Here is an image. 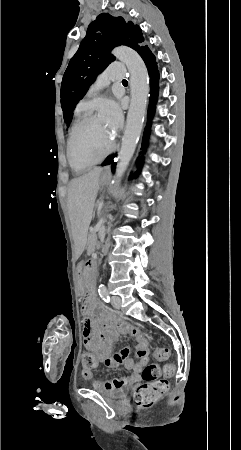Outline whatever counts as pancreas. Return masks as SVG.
I'll use <instances>...</instances> for the list:
<instances>
[{"label": "pancreas", "mask_w": 241, "mask_h": 450, "mask_svg": "<svg viewBox=\"0 0 241 450\" xmlns=\"http://www.w3.org/2000/svg\"><path fill=\"white\" fill-rule=\"evenodd\" d=\"M96 232H98V231H96V227H92V232H89L88 233V236L90 237V242H89V246H88V249L89 250H94L95 249V246H96V242H97V233Z\"/></svg>", "instance_id": "obj_1"}]
</instances>
